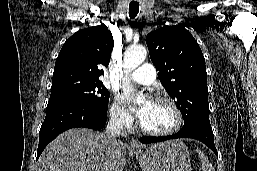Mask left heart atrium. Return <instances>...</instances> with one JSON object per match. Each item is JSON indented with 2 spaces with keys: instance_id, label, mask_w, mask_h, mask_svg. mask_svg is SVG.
Here are the masks:
<instances>
[{
  "instance_id": "39dd6f15",
  "label": "left heart atrium",
  "mask_w": 257,
  "mask_h": 171,
  "mask_svg": "<svg viewBox=\"0 0 257 171\" xmlns=\"http://www.w3.org/2000/svg\"><path fill=\"white\" fill-rule=\"evenodd\" d=\"M123 99L125 100V102L129 103L130 102V96L129 95H124ZM151 101H146L143 105H141L140 107L136 108L135 114L136 116L141 119L143 117V115L145 114L146 110L148 109V107L151 105Z\"/></svg>"
}]
</instances>
